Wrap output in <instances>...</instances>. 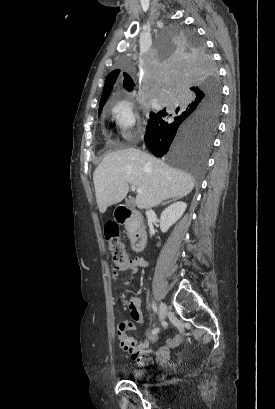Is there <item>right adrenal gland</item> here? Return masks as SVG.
Listing matches in <instances>:
<instances>
[{
  "label": "right adrenal gland",
  "mask_w": 275,
  "mask_h": 409,
  "mask_svg": "<svg viewBox=\"0 0 275 409\" xmlns=\"http://www.w3.org/2000/svg\"><path fill=\"white\" fill-rule=\"evenodd\" d=\"M177 198H181V196H175V198H171V200H166V202H161V205H167V202H172V200H177Z\"/></svg>",
  "instance_id": "1"
}]
</instances>
